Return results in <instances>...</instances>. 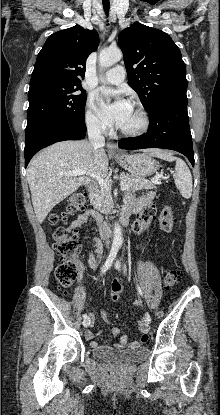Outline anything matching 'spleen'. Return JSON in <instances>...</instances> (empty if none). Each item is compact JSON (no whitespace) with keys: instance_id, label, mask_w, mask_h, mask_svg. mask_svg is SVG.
Masks as SVG:
<instances>
[{"instance_id":"1","label":"spleen","mask_w":220,"mask_h":415,"mask_svg":"<svg viewBox=\"0 0 220 415\" xmlns=\"http://www.w3.org/2000/svg\"><path fill=\"white\" fill-rule=\"evenodd\" d=\"M149 154L165 161H176L174 173L175 185L184 198H190L192 195V175L186 163L182 159L173 156L170 152L160 149L150 150Z\"/></svg>"}]
</instances>
